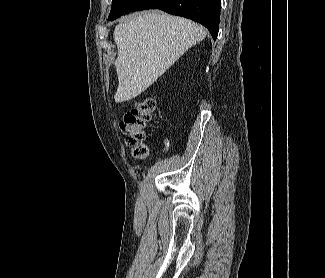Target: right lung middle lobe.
<instances>
[{"instance_id": "right-lung-middle-lobe-1", "label": "right lung middle lobe", "mask_w": 325, "mask_h": 278, "mask_svg": "<svg viewBox=\"0 0 325 278\" xmlns=\"http://www.w3.org/2000/svg\"><path fill=\"white\" fill-rule=\"evenodd\" d=\"M136 0H113L112 8L108 20H114L118 17L131 12Z\"/></svg>"}]
</instances>
